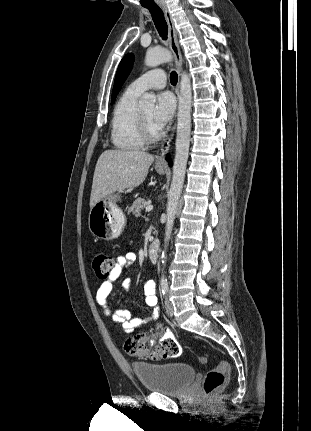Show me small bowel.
<instances>
[{
    "instance_id": "1",
    "label": "small bowel",
    "mask_w": 311,
    "mask_h": 431,
    "mask_svg": "<svg viewBox=\"0 0 311 431\" xmlns=\"http://www.w3.org/2000/svg\"><path fill=\"white\" fill-rule=\"evenodd\" d=\"M137 260V256L132 251H127L117 257V262L113 270L110 272L109 276L101 283L100 287L97 290L96 300L99 306L102 309V312L106 316H110L112 320L118 324H120L122 330L131 334L136 329H141L150 323L156 321L159 316V307H158V299L156 296V285L153 280H148L144 285V296L145 303L151 309L150 313L143 317L131 318L130 312L125 309H116L113 310L109 304V295L112 291L113 284L120 277L123 271L131 268ZM123 288L125 291L130 290V280L125 279L123 281ZM160 334L162 337L165 336H173V334L166 330L163 332V329L160 325L156 327V335L157 338ZM147 336L146 334H143Z\"/></svg>"
}]
</instances>
